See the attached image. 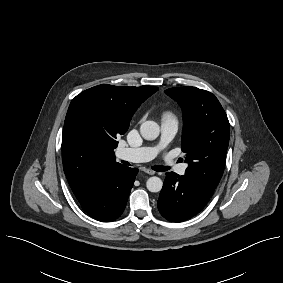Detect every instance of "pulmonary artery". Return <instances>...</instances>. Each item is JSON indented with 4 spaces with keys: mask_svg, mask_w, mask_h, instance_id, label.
I'll return each instance as SVG.
<instances>
[{
    "mask_svg": "<svg viewBox=\"0 0 283 283\" xmlns=\"http://www.w3.org/2000/svg\"><path fill=\"white\" fill-rule=\"evenodd\" d=\"M178 130V123L173 118H163L161 122V136L159 142L154 146H143L138 148L122 147L116 151L119 159L132 162H146L154 159L162 150L167 148ZM165 165L173 169L177 174L184 175L187 165L179 163L173 157L165 159Z\"/></svg>",
    "mask_w": 283,
    "mask_h": 283,
    "instance_id": "pulmonary-artery-1",
    "label": "pulmonary artery"
}]
</instances>
